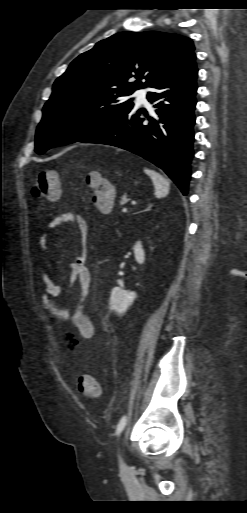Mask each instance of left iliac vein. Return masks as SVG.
Returning a JSON list of instances; mask_svg holds the SVG:
<instances>
[{"label":"left iliac vein","mask_w":247,"mask_h":513,"mask_svg":"<svg viewBox=\"0 0 247 513\" xmlns=\"http://www.w3.org/2000/svg\"><path fill=\"white\" fill-rule=\"evenodd\" d=\"M121 466L124 467L125 464L123 463L122 459L120 458Z\"/></svg>","instance_id":"obj_1"}]
</instances>
